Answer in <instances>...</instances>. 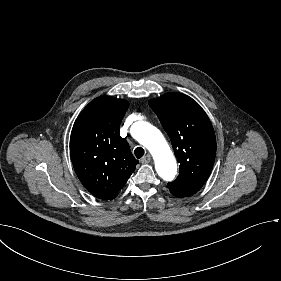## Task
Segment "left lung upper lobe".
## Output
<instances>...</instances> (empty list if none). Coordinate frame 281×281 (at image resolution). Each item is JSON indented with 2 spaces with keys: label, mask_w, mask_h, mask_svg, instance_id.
<instances>
[{
  "label": "left lung upper lobe",
  "mask_w": 281,
  "mask_h": 281,
  "mask_svg": "<svg viewBox=\"0 0 281 281\" xmlns=\"http://www.w3.org/2000/svg\"><path fill=\"white\" fill-rule=\"evenodd\" d=\"M168 133L180 174L168 183L171 193L185 197L196 193L209 177L216 155V138L204 110L189 96L166 93L149 101Z\"/></svg>",
  "instance_id": "left-lung-upper-lobe-1"
}]
</instances>
